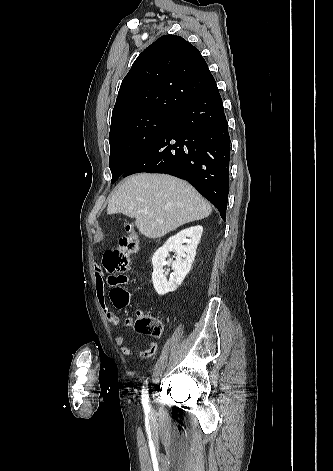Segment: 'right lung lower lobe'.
Masks as SVG:
<instances>
[{
    "label": "right lung lower lobe",
    "instance_id": "1",
    "mask_svg": "<svg viewBox=\"0 0 333 471\" xmlns=\"http://www.w3.org/2000/svg\"><path fill=\"white\" fill-rule=\"evenodd\" d=\"M230 137L223 103L214 84L191 100L122 174L165 173L192 184L226 217Z\"/></svg>",
    "mask_w": 333,
    "mask_h": 471
}]
</instances>
